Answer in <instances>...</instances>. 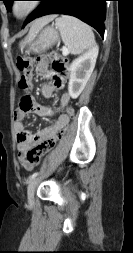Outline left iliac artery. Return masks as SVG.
I'll use <instances>...</instances> for the list:
<instances>
[{
  "label": "left iliac artery",
  "instance_id": "obj_1",
  "mask_svg": "<svg viewBox=\"0 0 133 253\" xmlns=\"http://www.w3.org/2000/svg\"><path fill=\"white\" fill-rule=\"evenodd\" d=\"M38 172L33 173L30 177H29V181L33 180L34 178H36L38 176Z\"/></svg>",
  "mask_w": 133,
  "mask_h": 253
}]
</instances>
